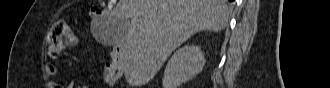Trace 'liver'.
I'll use <instances>...</instances> for the list:
<instances>
[{
  "label": "liver",
  "instance_id": "6515ba94",
  "mask_svg": "<svg viewBox=\"0 0 330 88\" xmlns=\"http://www.w3.org/2000/svg\"><path fill=\"white\" fill-rule=\"evenodd\" d=\"M228 17L227 0H119L107 15V26L131 20L114 40L127 83L141 86L190 36L199 31L219 32L227 26Z\"/></svg>",
  "mask_w": 330,
  "mask_h": 88
}]
</instances>
